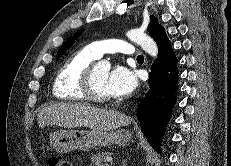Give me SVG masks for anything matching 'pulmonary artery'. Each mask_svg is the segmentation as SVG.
<instances>
[{
  "label": "pulmonary artery",
  "instance_id": "1",
  "mask_svg": "<svg viewBox=\"0 0 231 166\" xmlns=\"http://www.w3.org/2000/svg\"><path fill=\"white\" fill-rule=\"evenodd\" d=\"M88 47L97 58L102 57L106 53L114 54L121 52L127 55H134L136 53L132 44L119 39L92 42Z\"/></svg>",
  "mask_w": 231,
  "mask_h": 166
}]
</instances>
